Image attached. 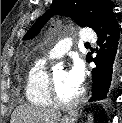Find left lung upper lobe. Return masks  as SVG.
<instances>
[{
  "instance_id": "1",
  "label": "left lung upper lobe",
  "mask_w": 122,
  "mask_h": 123,
  "mask_svg": "<svg viewBox=\"0 0 122 123\" xmlns=\"http://www.w3.org/2000/svg\"><path fill=\"white\" fill-rule=\"evenodd\" d=\"M54 14L69 16L79 26L91 27L97 33L114 13L109 0H53L51 8L34 23L24 39L37 35Z\"/></svg>"
}]
</instances>
